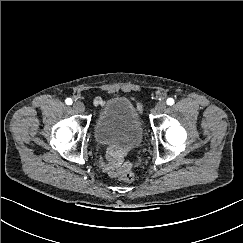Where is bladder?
<instances>
[{"label":"bladder","mask_w":243,"mask_h":243,"mask_svg":"<svg viewBox=\"0 0 243 243\" xmlns=\"http://www.w3.org/2000/svg\"><path fill=\"white\" fill-rule=\"evenodd\" d=\"M99 145H117L134 150L144 140V126L133 102L127 97L110 98L102 107L93 126Z\"/></svg>","instance_id":"31cf9c89"}]
</instances>
